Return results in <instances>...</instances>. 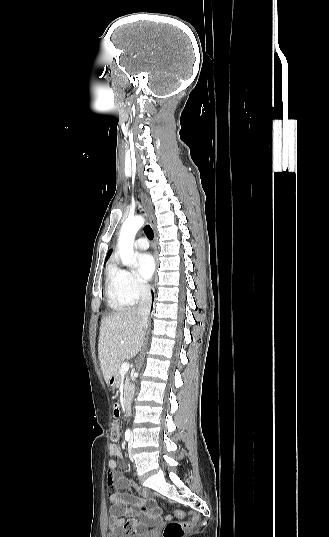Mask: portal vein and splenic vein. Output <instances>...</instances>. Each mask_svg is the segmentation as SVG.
I'll return each instance as SVG.
<instances>
[{
    "mask_svg": "<svg viewBox=\"0 0 329 537\" xmlns=\"http://www.w3.org/2000/svg\"><path fill=\"white\" fill-rule=\"evenodd\" d=\"M122 343H123V342H122ZM128 370H129V363H127V362L123 363L122 366H121V372H122V373H125V372H127Z\"/></svg>",
    "mask_w": 329,
    "mask_h": 537,
    "instance_id": "portal-vein-and-splenic-vein-1",
    "label": "portal vein and splenic vein"
}]
</instances>
